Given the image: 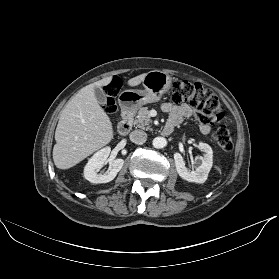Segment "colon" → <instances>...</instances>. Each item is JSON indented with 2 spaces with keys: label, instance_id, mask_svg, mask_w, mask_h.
<instances>
[{
  "label": "colon",
  "instance_id": "colon-1",
  "mask_svg": "<svg viewBox=\"0 0 279 279\" xmlns=\"http://www.w3.org/2000/svg\"><path fill=\"white\" fill-rule=\"evenodd\" d=\"M121 87L122 82L118 79L107 86L108 97L104 106L107 113L112 114L116 111L114 98ZM171 100L175 104L187 103L201 123L215 125L213 137L222 149L229 151L233 148L232 133L224 125L225 114L222 111V104L212 90L200 83L177 81L172 86Z\"/></svg>",
  "mask_w": 279,
  "mask_h": 279
}]
</instances>
